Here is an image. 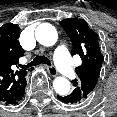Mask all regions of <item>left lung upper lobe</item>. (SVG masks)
Wrapping results in <instances>:
<instances>
[{"label": "left lung upper lobe", "instance_id": "left-lung-upper-lobe-1", "mask_svg": "<svg viewBox=\"0 0 117 117\" xmlns=\"http://www.w3.org/2000/svg\"><path fill=\"white\" fill-rule=\"evenodd\" d=\"M59 23L72 41L71 54H78L82 59V65L75 69L80 82L74 80L75 89L73 91H77L85 100L96 87L104 61L100 52L98 35L89 28L83 19L68 18Z\"/></svg>", "mask_w": 117, "mask_h": 117}]
</instances>
